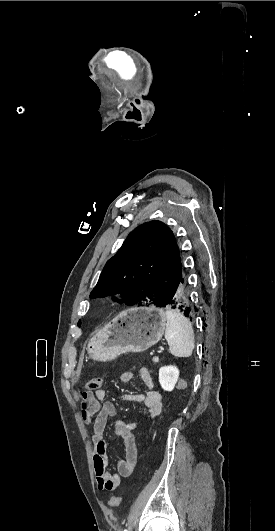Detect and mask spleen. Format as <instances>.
Here are the masks:
<instances>
[{
  "instance_id": "obj_1",
  "label": "spleen",
  "mask_w": 275,
  "mask_h": 531,
  "mask_svg": "<svg viewBox=\"0 0 275 531\" xmlns=\"http://www.w3.org/2000/svg\"><path fill=\"white\" fill-rule=\"evenodd\" d=\"M165 339L170 353L174 357H191L194 343V331L189 321L182 313L167 309Z\"/></svg>"
}]
</instances>
